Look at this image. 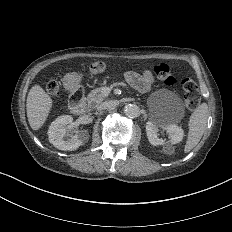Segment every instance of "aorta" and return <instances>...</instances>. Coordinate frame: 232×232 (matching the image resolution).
I'll return each mask as SVG.
<instances>
[{
    "instance_id": "obj_1",
    "label": "aorta",
    "mask_w": 232,
    "mask_h": 232,
    "mask_svg": "<svg viewBox=\"0 0 232 232\" xmlns=\"http://www.w3.org/2000/svg\"><path fill=\"white\" fill-rule=\"evenodd\" d=\"M125 114L130 118H136L140 115V108L136 104H127L124 108Z\"/></svg>"
}]
</instances>
